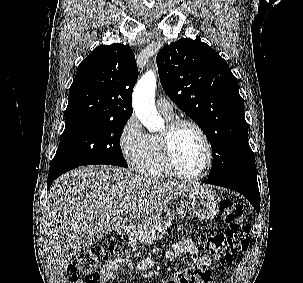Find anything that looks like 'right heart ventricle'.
I'll list each match as a JSON object with an SVG mask.
<instances>
[{
    "instance_id": "right-heart-ventricle-1",
    "label": "right heart ventricle",
    "mask_w": 303,
    "mask_h": 283,
    "mask_svg": "<svg viewBox=\"0 0 303 283\" xmlns=\"http://www.w3.org/2000/svg\"><path fill=\"white\" fill-rule=\"evenodd\" d=\"M164 118L169 122L172 121V118ZM136 168L139 173L147 177L165 178L173 176L165 165L159 136L149 135L146 150L136 163Z\"/></svg>"
}]
</instances>
